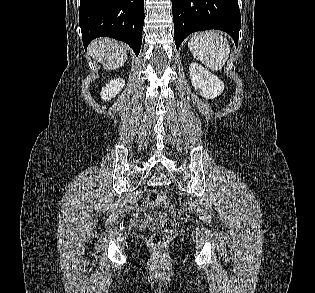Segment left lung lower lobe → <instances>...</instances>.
Here are the masks:
<instances>
[{"instance_id":"left-lung-lower-lobe-1","label":"left lung lower lobe","mask_w":315,"mask_h":293,"mask_svg":"<svg viewBox=\"0 0 315 293\" xmlns=\"http://www.w3.org/2000/svg\"><path fill=\"white\" fill-rule=\"evenodd\" d=\"M174 36L178 49L191 33L223 30L238 43L241 16L238 0H172Z\"/></svg>"}]
</instances>
